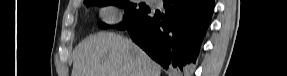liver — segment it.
I'll return each instance as SVG.
<instances>
[{"label": "liver", "mask_w": 287, "mask_h": 76, "mask_svg": "<svg viewBox=\"0 0 287 76\" xmlns=\"http://www.w3.org/2000/svg\"><path fill=\"white\" fill-rule=\"evenodd\" d=\"M161 67L130 39L91 35L74 50L71 76H160Z\"/></svg>", "instance_id": "liver-1"}]
</instances>
